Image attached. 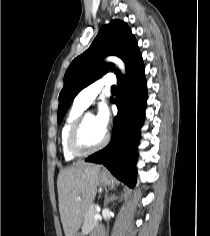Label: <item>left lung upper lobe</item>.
<instances>
[{
    "label": "left lung upper lobe",
    "mask_w": 210,
    "mask_h": 236,
    "mask_svg": "<svg viewBox=\"0 0 210 236\" xmlns=\"http://www.w3.org/2000/svg\"><path fill=\"white\" fill-rule=\"evenodd\" d=\"M108 55H116L125 62L126 76L142 63L137 41L126 22L112 20L104 25L90 47L72 61L65 73L64 86L59 95V124L79 91L99 79L108 69L114 70L113 64L103 62V58ZM115 73L118 79L123 78L119 70H115Z\"/></svg>",
    "instance_id": "obj_1"
}]
</instances>
